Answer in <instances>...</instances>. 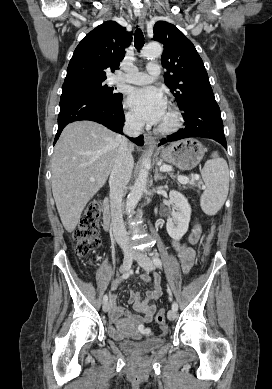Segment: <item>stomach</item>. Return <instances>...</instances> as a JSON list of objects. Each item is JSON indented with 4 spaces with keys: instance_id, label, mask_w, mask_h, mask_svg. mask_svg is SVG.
<instances>
[{
    "instance_id": "0dacf381",
    "label": "stomach",
    "mask_w": 272,
    "mask_h": 389,
    "mask_svg": "<svg viewBox=\"0 0 272 389\" xmlns=\"http://www.w3.org/2000/svg\"><path fill=\"white\" fill-rule=\"evenodd\" d=\"M205 151V147L197 139L187 138L162 148L160 156L181 170H191L200 163Z\"/></svg>"
}]
</instances>
